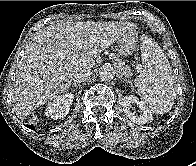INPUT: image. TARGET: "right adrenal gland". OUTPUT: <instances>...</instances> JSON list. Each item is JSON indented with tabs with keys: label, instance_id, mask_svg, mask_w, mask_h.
<instances>
[{
	"label": "right adrenal gland",
	"instance_id": "right-adrenal-gland-1",
	"mask_svg": "<svg viewBox=\"0 0 196 166\" xmlns=\"http://www.w3.org/2000/svg\"><path fill=\"white\" fill-rule=\"evenodd\" d=\"M71 86H75V87H79L80 88V84H77V83H73Z\"/></svg>",
	"mask_w": 196,
	"mask_h": 166
}]
</instances>
